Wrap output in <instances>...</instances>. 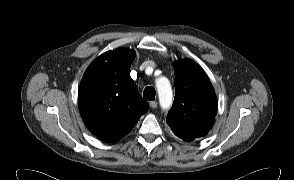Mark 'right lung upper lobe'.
<instances>
[{"label": "right lung upper lobe", "instance_id": "obj_1", "mask_svg": "<svg viewBox=\"0 0 294 180\" xmlns=\"http://www.w3.org/2000/svg\"><path fill=\"white\" fill-rule=\"evenodd\" d=\"M135 52L127 48L97 57L85 71L78 104L87 128L106 142L128 134L149 108L130 77Z\"/></svg>", "mask_w": 294, "mask_h": 180}]
</instances>
